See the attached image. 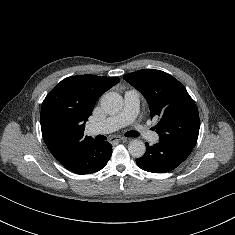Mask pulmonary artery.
<instances>
[{
    "mask_svg": "<svg viewBox=\"0 0 235 235\" xmlns=\"http://www.w3.org/2000/svg\"><path fill=\"white\" fill-rule=\"evenodd\" d=\"M139 104V92L136 90L126 91L124 94V105L122 110L119 113L110 116L103 121L92 124L89 127L90 134H106L116 131L128 124H132L138 114ZM135 127L137 128V130L143 132L149 141H158L159 136L157 133L145 131L144 127L139 124L135 125Z\"/></svg>",
    "mask_w": 235,
    "mask_h": 235,
    "instance_id": "pulmonary-artery-1",
    "label": "pulmonary artery"
}]
</instances>
